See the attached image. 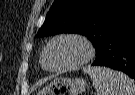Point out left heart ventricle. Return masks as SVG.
Wrapping results in <instances>:
<instances>
[{"instance_id":"obj_1","label":"left heart ventricle","mask_w":135,"mask_h":95,"mask_svg":"<svg viewBox=\"0 0 135 95\" xmlns=\"http://www.w3.org/2000/svg\"><path fill=\"white\" fill-rule=\"evenodd\" d=\"M85 49L75 40H61L50 49L47 63L52 68H60L72 65L82 59Z\"/></svg>"}]
</instances>
